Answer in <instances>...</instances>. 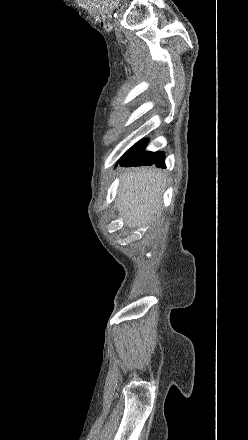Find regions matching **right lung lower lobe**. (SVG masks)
I'll list each match as a JSON object with an SVG mask.
<instances>
[{"instance_id":"1","label":"right lung lower lobe","mask_w":248,"mask_h":440,"mask_svg":"<svg viewBox=\"0 0 248 440\" xmlns=\"http://www.w3.org/2000/svg\"><path fill=\"white\" fill-rule=\"evenodd\" d=\"M147 143V140H143L130 148L123 156V161L120 165L123 167H136L155 164L159 168H166L164 164V153L144 151Z\"/></svg>"}]
</instances>
